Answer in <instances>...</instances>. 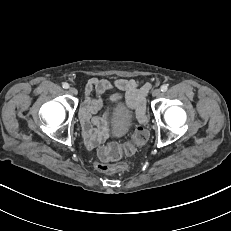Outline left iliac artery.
Listing matches in <instances>:
<instances>
[{"label": "left iliac artery", "instance_id": "left-iliac-artery-1", "mask_svg": "<svg viewBox=\"0 0 231 231\" xmlns=\"http://www.w3.org/2000/svg\"><path fill=\"white\" fill-rule=\"evenodd\" d=\"M167 89H168L167 85L164 84V85L161 86V91L162 92H166Z\"/></svg>", "mask_w": 231, "mask_h": 231}]
</instances>
